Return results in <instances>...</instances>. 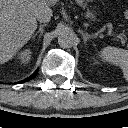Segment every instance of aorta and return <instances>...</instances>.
Returning <instances> with one entry per match:
<instances>
[{
    "label": "aorta",
    "instance_id": "obj_1",
    "mask_svg": "<svg viewBox=\"0 0 128 128\" xmlns=\"http://www.w3.org/2000/svg\"><path fill=\"white\" fill-rule=\"evenodd\" d=\"M74 42V35L68 30H63L58 36V44L62 48H70Z\"/></svg>",
    "mask_w": 128,
    "mask_h": 128
}]
</instances>
